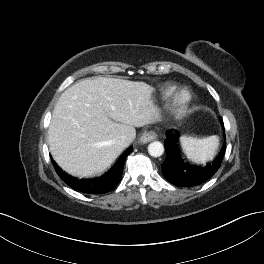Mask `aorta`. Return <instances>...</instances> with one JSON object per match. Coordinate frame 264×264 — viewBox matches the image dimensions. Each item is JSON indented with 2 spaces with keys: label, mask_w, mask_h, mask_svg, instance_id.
Segmentation results:
<instances>
[{
  "label": "aorta",
  "mask_w": 264,
  "mask_h": 264,
  "mask_svg": "<svg viewBox=\"0 0 264 264\" xmlns=\"http://www.w3.org/2000/svg\"><path fill=\"white\" fill-rule=\"evenodd\" d=\"M148 153L152 156V157H160L163 155L164 153V146L161 142L159 141H154L151 142L148 145Z\"/></svg>",
  "instance_id": "762f6f07"
}]
</instances>
